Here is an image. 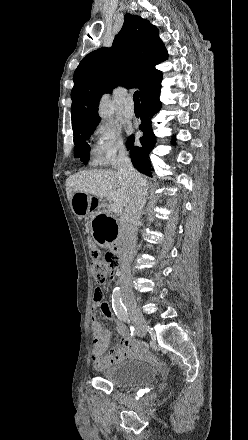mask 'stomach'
Returning <instances> with one entry per match:
<instances>
[{
	"instance_id": "obj_1",
	"label": "stomach",
	"mask_w": 248,
	"mask_h": 440,
	"mask_svg": "<svg viewBox=\"0 0 248 440\" xmlns=\"http://www.w3.org/2000/svg\"><path fill=\"white\" fill-rule=\"evenodd\" d=\"M73 212L79 218H91L93 223H88V232H93L92 239L96 246H115L119 239L120 223L118 218H113V209H92L97 206L96 197L87 193L76 192L71 198Z\"/></svg>"
}]
</instances>
